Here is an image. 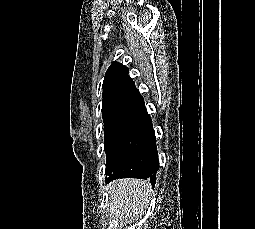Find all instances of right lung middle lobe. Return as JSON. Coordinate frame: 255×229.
<instances>
[{"instance_id": "1", "label": "right lung middle lobe", "mask_w": 255, "mask_h": 229, "mask_svg": "<svg viewBox=\"0 0 255 229\" xmlns=\"http://www.w3.org/2000/svg\"><path fill=\"white\" fill-rule=\"evenodd\" d=\"M106 175L123 173L133 167L146 168L155 149L154 131L144 130L126 115L104 124Z\"/></svg>"}]
</instances>
